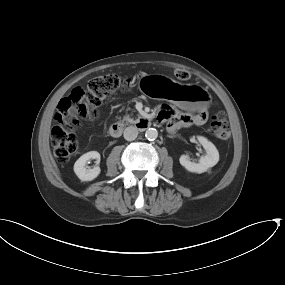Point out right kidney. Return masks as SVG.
<instances>
[{"mask_svg": "<svg viewBox=\"0 0 285 285\" xmlns=\"http://www.w3.org/2000/svg\"><path fill=\"white\" fill-rule=\"evenodd\" d=\"M91 159H96V166L90 168L87 165ZM100 163V154L97 151H90L83 154L74 164V172L81 181H92L101 172L98 164Z\"/></svg>", "mask_w": 285, "mask_h": 285, "instance_id": "right-kidney-1", "label": "right kidney"}]
</instances>
